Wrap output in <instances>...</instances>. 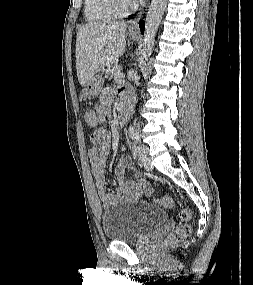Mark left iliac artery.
Segmentation results:
<instances>
[{"mask_svg":"<svg viewBox=\"0 0 253 285\" xmlns=\"http://www.w3.org/2000/svg\"><path fill=\"white\" fill-rule=\"evenodd\" d=\"M132 139L135 140L136 142H140V135H139V133H133Z\"/></svg>","mask_w":253,"mask_h":285,"instance_id":"1","label":"left iliac artery"}]
</instances>
